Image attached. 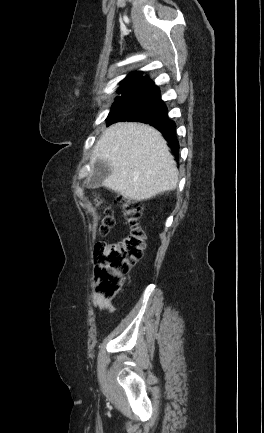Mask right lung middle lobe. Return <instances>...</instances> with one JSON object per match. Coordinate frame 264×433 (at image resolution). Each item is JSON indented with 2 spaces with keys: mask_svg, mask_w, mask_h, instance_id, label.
I'll use <instances>...</instances> for the list:
<instances>
[{
  "mask_svg": "<svg viewBox=\"0 0 264 433\" xmlns=\"http://www.w3.org/2000/svg\"><path fill=\"white\" fill-rule=\"evenodd\" d=\"M141 90L130 91L116 99L107 118L108 124L115 119L127 117L135 112L136 108L133 106L135 102H138Z\"/></svg>",
  "mask_w": 264,
  "mask_h": 433,
  "instance_id": "1",
  "label": "right lung middle lobe"
}]
</instances>
